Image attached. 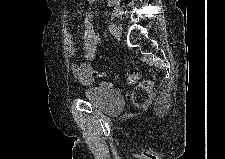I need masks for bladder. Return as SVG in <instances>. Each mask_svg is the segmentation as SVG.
<instances>
[{"instance_id": "bladder-1", "label": "bladder", "mask_w": 225, "mask_h": 159, "mask_svg": "<svg viewBox=\"0 0 225 159\" xmlns=\"http://www.w3.org/2000/svg\"><path fill=\"white\" fill-rule=\"evenodd\" d=\"M86 100L107 115H114L124 108V97L112 86L93 85L85 90Z\"/></svg>"}]
</instances>
